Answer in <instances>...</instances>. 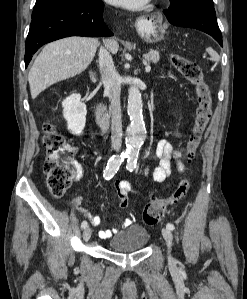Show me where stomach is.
Masks as SVG:
<instances>
[{"label": "stomach", "mask_w": 247, "mask_h": 299, "mask_svg": "<svg viewBox=\"0 0 247 299\" xmlns=\"http://www.w3.org/2000/svg\"><path fill=\"white\" fill-rule=\"evenodd\" d=\"M136 26L138 33L147 42H158L164 39L165 28L161 24L155 25L147 20H140Z\"/></svg>", "instance_id": "obj_1"}]
</instances>
